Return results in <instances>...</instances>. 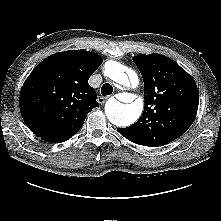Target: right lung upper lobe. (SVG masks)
Returning <instances> with one entry per match:
<instances>
[{"label":"right lung upper lobe","mask_w":221,"mask_h":221,"mask_svg":"<svg viewBox=\"0 0 221 221\" xmlns=\"http://www.w3.org/2000/svg\"><path fill=\"white\" fill-rule=\"evenodd\" d=\"M103 59L85 50L53 54L35 67L22 86L19 105L28 128L41 139L61 143L82 127L97 94L89 77Z\"/></svg>","instance_id":"cb5924a9"}]
</instances>
